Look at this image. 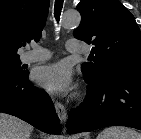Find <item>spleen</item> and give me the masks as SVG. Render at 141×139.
<instances>
[{"mask_svg": "<svg viewBox=\"0 0 141 139\" xmlns=\"http://www.w3.org/2000/svg\"><path fill=\"white\" fill-rule=\"evenodd\" d=\"M97 139H141V134L130 128L113 126L104 129Z\"/></svg>", "mask_w": 141, "mask_h": 139, "instance_id": "1", "label": "spleen"}]
</instances>
